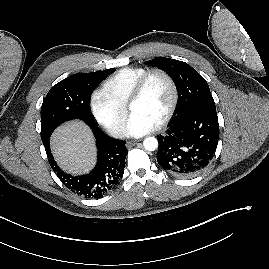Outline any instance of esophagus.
<instances>
[{
    "mask_svg": "<svg viewBox=\"0 0 269 269\" xmlns=\"http://www.w3.org/2000/svg\"><path fill=\"white\" fill-rule=\"evenodd\" d=\"M138 142H139V141H137V140H134V141H127V142H126V147H127L128 149H130L131 147L135 146Z\"/></svg>",
    "mask_w": 269,
    "mask_h": 269,
    "instance_id": "34e87169",
    "label": "esophagus"
}]
</instances>
